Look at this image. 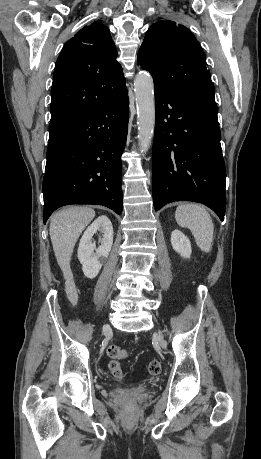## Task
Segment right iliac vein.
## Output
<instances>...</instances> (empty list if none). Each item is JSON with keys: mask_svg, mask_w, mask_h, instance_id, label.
I'll return each instance as SVG.
<instances>
[{"mask_svg": "<svg viewBox=\"0 0 261 459\" xmlns=\"http://www.w3.org/2000/svg\"><path fill=\"white\" fill-rule=\"evenodd\" d=\"M109 328H110L109 325L105 324L102 329L103 333H106L109 330Z\"/></svg>", "mask_w": 261, "mask_h": 459, "instance_id": "63e3f726", "label": "right iliac vein"}]
</instances>
